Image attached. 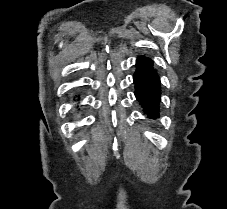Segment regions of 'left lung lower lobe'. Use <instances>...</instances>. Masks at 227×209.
Masks as SVG:
<instances>
[{
	"label": "left lung lower lobe",
	"mask_w": 227,
	"mask_h": 209,
	"mask_svg": "<svg viewBox=\"0 0 227 209\" xmlns=\"http://www.w3.org/2000/svg\"><path fill=\"white\" fill-rule=\"evenodd\" d=\"M133 80L136 85V98L141 102L144 112L149 118H158L161 92L160 79L150 58L145 56L137 58Z\"/></svg>",
	"instance_id": "1"
}]
</instances>
